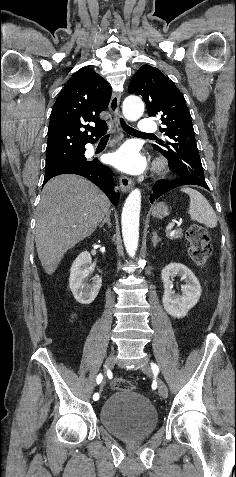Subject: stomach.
I'll return each mask as SVG.
<instances>
[{
    "label": "stomach",
    "mask_w": 236,
    "mask_h": 477,
    "mask_svg": "<svg viewBox=\"0 0 236 477\" xmlns=\"http://www.w3.org/2000/svg\"><path fill=\"white\" fill-rule=\"evenodd\" d=\"M152 215L159 219L166 217L168 215L167 205L163 202L156 204L152 210Z\"/></svg>",
    "instance_id": "0dacf381"
}]
</instances>
